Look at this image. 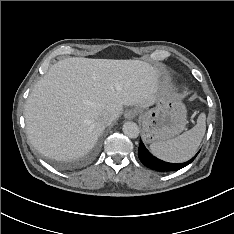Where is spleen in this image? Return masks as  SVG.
<instances>
[{
    "mask_svg": "<svg viewBox=\"0 0 234 234\" xmlns=\"http://www.w3.org/2000/svg\"><path fill=\"white\" fill-rule=\"evenodd\" d=\"M206 116L201 113L197 124L182 135L164 142L150 145L152 153L167 162L180 163L189 160L196 153L206 130Z\"/></svg>",
    "mask_w": 234,
    "mask_h": 234,
    "instance_id": "3e777b00",
    "label": "spleen"
}]
</instances>
